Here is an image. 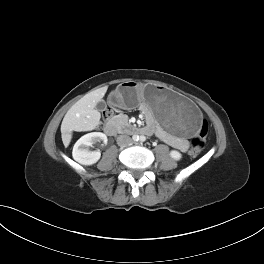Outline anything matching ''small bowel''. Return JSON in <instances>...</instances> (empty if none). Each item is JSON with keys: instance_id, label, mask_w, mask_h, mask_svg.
Returning <instances> with one entry per match:
<instances>
[{"instance_id": "1", "label": "small bowel", "mask_w": 264, "mask_h": 264, "mask_svg": "<svg viewBox=\"0 0 264 264\" xmlns=\"http://www.w3.org/2000/svg\"><path fill=\"white\" fill-rule=\"evenodd\" d=\"M149 129L151 132L156 133L161 139L166 141L171 146L182 151H185L187 149V143L185 140L178 137H174L165 132L164 130L154 127L153 125H150Z\"/></svg>"}]
</instances>
